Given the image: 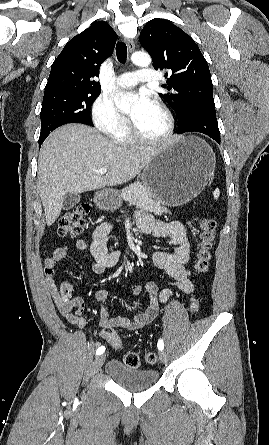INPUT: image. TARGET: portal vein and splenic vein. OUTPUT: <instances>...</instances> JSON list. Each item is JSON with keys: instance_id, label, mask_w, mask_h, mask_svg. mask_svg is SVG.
Wrapping results in <instances>:
<instances>
[{"instance_id": "portal-vein-and-splenic-vein-1", "label": "portal vein and splenic vein", "mask_w": 269, "mask_h": 445, "mask_svg": "<svg viewBox=\"0 0 269 445\" xmlns=\"http://www.w3.org/2000/svg\"><path fill=\"white\" fill-rule=\"evenodd\" d=\"M97 172H98V174H100V175H104V174H106L107 169H106V168H100Z\"/></svg>"}]
</instances>
